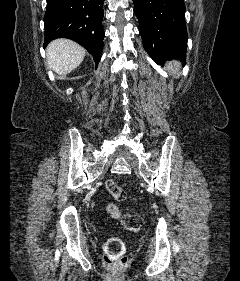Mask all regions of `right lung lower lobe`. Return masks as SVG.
<instances>
[{
	"mask_svg": "<svg viewBox=\"0 0 240 281\" xmlns=\"http://www.w3.org/2000/svg\"><path fill=\"white\" fill-rule=\"evenodd\" d=\"M103 3L104 0H47L44 47L53 39L68 38L85 47L98 65L104 39Z\"/></svg>",
	"mask_w": 240,
	"mask_h": 281,
	"instance_id": "1",
	"label": "right lung lower lobe"
}]
</instances>
